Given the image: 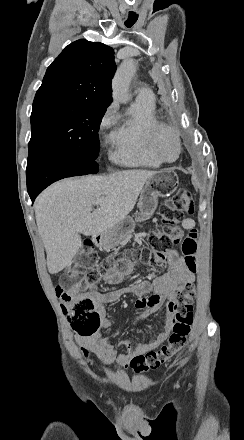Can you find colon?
<instances>
[{"mask_svg":"<svg viewBox=\"0 0 244 440\" xmlns=\"http://www.w3.org/2000/svg\"><path fill=\"white\" fill-rule=\"evenodd\" d=\"M194 212L193 194L181 190L173 200L163 204L160 208V220L156 229L147 237L146 249H134L131 256L138 262L148 263L156 269H161L167 264L168 251L181 241L180 224L186 216ZM198 234L194 227L189 228L188 235L181 242V253L187 266L191 270L197 268ZM81 253L80 262H68L67 269L70 275H61V284L55 286L56 298L64 304L65 312L69 319H99L100 311L93 310L92 304H83L82 299L76 298L71 302L67 290L73 280L82 287V292H88V287H97L100 282V272H105L112 265L123 260V252H115L102 262L98 261L95 247L91 241L86 240ZM86 273L85 277H83ZM72 277V278H71ZM64 284V285H62ZM196 297L194 286L186 285L175 295L169 304L168 310L172 314L173 329L167 343L156 351L135 356L130 366L135 373L154 370L164 365L169 359L184 349L193 323V300Z\"/></svg>","mask_w":244,"mask_h":440,"instance_id":"5ec220e1","label":"colon"}]
</instances>
